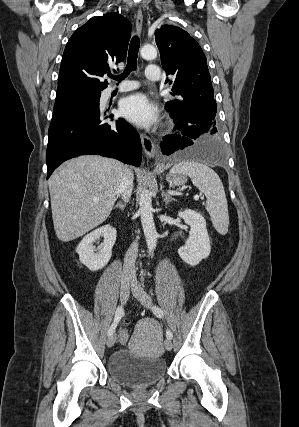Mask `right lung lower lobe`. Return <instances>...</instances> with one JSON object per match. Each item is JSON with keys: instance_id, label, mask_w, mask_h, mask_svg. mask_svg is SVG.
<instances>
[{"instance_id": "98d812e1", "label": "right lung lower lobe", "mask_w": 299, "mask_h": 427, "mask_svg": "<svg viewBox=\"0 0 299 427\" xmlns=\"http://www.w3.org/2000/svg\"><path fill=\"white\" fill-rule=\"evenodd\" d=\"M99 100L100 97L88 98L54 108L46 152L47 179L64 161L85 154L140 165L138 133L122 118L115 124L104 123L100 118Z\"/></svg>"}]
</instances>
